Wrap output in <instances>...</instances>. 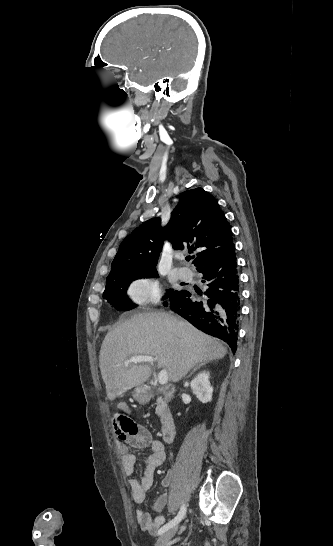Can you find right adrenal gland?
I'll list each match as a JSON object with an SVG mask.
<instances>
[{"label": "right adrenal gland", "instance_id": "obj_1", "mask_svg": "<svg viewBox=\"0 0 333 546\" xmlns=\"http://www.w3.org/2000/svg\"><path fill=\"white\" fill-rule=\"evenodd\" d=\"M208 362H209V361H208ZM208 362H203V363L197 365V366L192 370V372L189 374V376H190L193 372H195L197 369H199L200 367H202V366L208 364Z\"/></svg>", "mask_w": 333, "mask_h": 546}]
</instances>
